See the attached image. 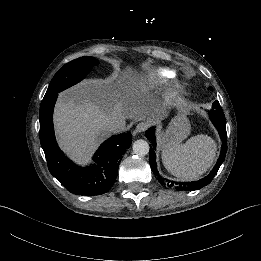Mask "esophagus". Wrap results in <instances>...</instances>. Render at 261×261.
Here are the masks:
<instances>
[{
  "label": "esophagus",
  "mask_w": 261,
  "mask_h": 261,
  "mask_svg": "<svg viewBox=\"0 0 261 261\" xmlns=\"http://www.w3.org/2000/svg\"><path fill=\"white\" fill-rule=\"evenodd\" d=\"M149 125L146 122H140L139 124H137L135 131L137 133H142L144 131H146L148 129Z\"/></svg>",
  "instance_id": "34e87169"
}]
</instances>
